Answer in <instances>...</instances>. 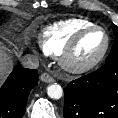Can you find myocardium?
I'll return each mask as SVG.
<instances>
[{
  "instance_id": "myocardium-1",
  "label": "myocardium",
  "mask_w": 118,
  "mask_h": 118,
  "mask_svg": "<svg viewBox=\"0 0 118 118\" xmlns=\"http://www.w3.org/2000/svg\"><path fill=\"white\" fill-rule=\"evenodd\" d=\"M93 31H101L104 34L105 39H106L104 49L95 59H93L90 62L83 63V64H77L73 62L74 53L77 47L79 46L80 42L86 35H88L89 33ZM110 44H111V39H110L109 33L107 32L105 28L98 25H91L86 28H83L73 36V38L66 45L64 50L59 54L60 66L65 72L70 73V74L86 73L94 69L95 67H97L104 60V58L106 57L110 49Z\"/></svg>"
}]
</instances>
